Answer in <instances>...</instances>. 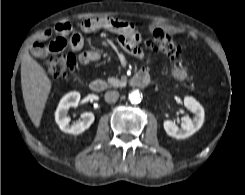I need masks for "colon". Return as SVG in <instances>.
I'll return each instance as SVG.
<instances>
[{"label":"colon","instance_id":"obj_1","mask_svg":"<svg viewBox=\"0 0 245 195\" xmlns=\"http://www.w3.org/2000/svg\"><path fill=\"white\" fill-rule=\"evenodd\" d=\"M146 46L152 51L164 53L172 62L180 60V47L171 36L159 29L154 30ZM76 66L77 58L72 53L49 58L44 64L47 75L53 79L73 77Z\"/></svg>","mask_w":245,"mask_h":195}]
</instances>
